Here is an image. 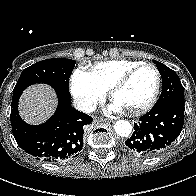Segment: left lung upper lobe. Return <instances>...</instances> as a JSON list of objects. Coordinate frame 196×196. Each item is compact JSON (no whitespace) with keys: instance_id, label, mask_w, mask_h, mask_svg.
I'll return each instance as SVG.
<instances>
[{"instance_id":"obj_1","label":"left lung upper lobe","mask_w":196,"mask_h":196,"mask_svg":"<svg viewBox=\"0 0 196 196\" xmlns=\"http://www.w3.org/2000/svg\"><path fill=\"white\" fill-rule=\"evenodd\" d=\"M162 77V93L155 105L167 102L184 104V88L175 71L153 60Z\"/></svg>"}]
</instances>
